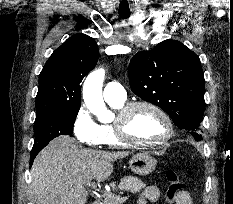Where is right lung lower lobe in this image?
I'll use <instances>...</instances> for the list:
<instances>
[{"label": "right lung lower lobe", "instance_id": "right-lung-lower-lobe-1", "mask_svg": "<svg viewBox=\"0 0 233 204\" xmlns=\"http://www.w3.org/2000/svg\"><path fill=\"white\" fill-rule=\"evenodd\" d=\"M44 147H33L31 151V157H30V167L36 157V155L43 149Z\"/></svg>", "mask_w": 233, "mask_h": 204}]
</instances>
